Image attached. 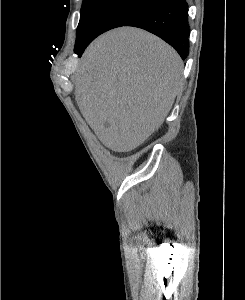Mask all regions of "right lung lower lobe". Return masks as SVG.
I'll return each mask as SVG.
<instances>
[{"label": "right lung lower lobe", "instance_id": "98d812e1", "mask_svg": "<svg viewBox=\"0 0 245 300\" xmlns=\"http://www.w3.org/2000/svg\"><path fill=\"white\" fill-rule=\"evenodd\" d=\"M187 17L186 0H162L124 26L142 28L159 36L185 59L189 37ZM87 46L75 47V53L81 56Z\"/></svg>", "mask_w": 245, "mask_h": 300}]
</instances>
